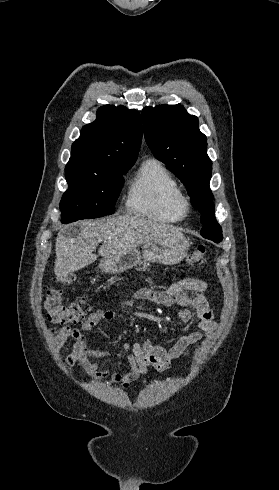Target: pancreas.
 <instances>
[{
  "instance_id": "1",
  "label": "pancreas",
  "mask_w": 279,
  "mask_h": 490,
  "mask_svg": "<svg viewBox=\"0 0 279 490\" xmlns=\"http://www.w3.org/2000/svg\"><path fill=\"white\" fill-rule=\"evenodd\" d=\"M139 266H143V268H137L138 272H146V270L149 272V262H140Z\"/></svg>"
}]
</instances>
